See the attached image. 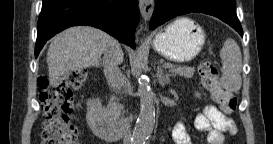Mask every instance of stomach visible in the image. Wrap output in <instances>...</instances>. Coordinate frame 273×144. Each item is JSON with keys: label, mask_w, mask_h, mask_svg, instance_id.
I'll use <instances>...</instances> for the list:
<instances>
[{"label": "stomach", "mask_w": 273, "mask_h": 144, "mask_svg": "<svg viewBox=\"0 0 273 144\" xmlns=\"http://www.w3.org/2000/svg\"><path fill=\"white\" fill-rule=\"evenodd\" d=\"M205 43V32L193 20L181 17L159 31L152 40L153 49L173 62L194 59Z\"/></svg>", "instance_id": "stomach-1"}]
</instances>
